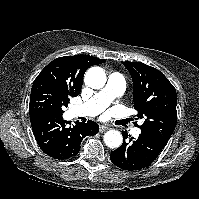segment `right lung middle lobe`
<instances>
[{
	"label": "right lung middle lobe",
	"mask_w": 199,
	"mask_h": 199,
	"mask_svg": "<svg viewBox=\"0 0 199 199\" xmlns=\"http://www.w3.org/2000/svg\"><path fill=\"white\" fill-rule=\"evenodd\" d=\"M69 98L54 88L36 87L32 88L30 96L29 111H48L59 115L64 113L63 108L67 107Z\"/></svg>",
	"instance_id": "dd1d6c3e"
}]
</instances>
